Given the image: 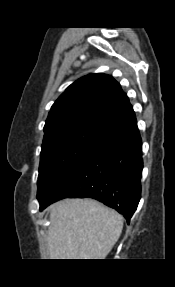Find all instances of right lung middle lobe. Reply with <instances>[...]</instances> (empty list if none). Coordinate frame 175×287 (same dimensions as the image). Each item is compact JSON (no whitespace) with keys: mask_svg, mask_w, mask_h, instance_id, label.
Returning a JSON list of instances; mask_svg holds the SVG:
<instances>
[{"mask_svg":"<svg viewBox=\"0 0 175 287\" xmlns=\"http://www.w3.org/2000/svg\"><path fill=\"white\" fill-rule=\"evenodd\" d=\"M114 127L105 123H79L45 132L40 154L37 196H42Z\"/></svg>","mask_w":175,"mask_h":287,"instance_id":"obj_1","label":"right lung middle lobe"}]
</instances>
